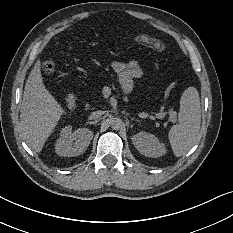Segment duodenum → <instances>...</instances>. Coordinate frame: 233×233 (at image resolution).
Wrapping results in <instances>:
<instances>
[{
  "instance_id": "1",
  "label": "duodenum",
  "mask_w": 233,
  "mask_h": 233,
  "mask_svg": "<svg viewBox=\"0 0 233 233\" xmlns=\"http://www.w3.org/2000/svg\"><path fill=\"white\" fill-rule=\"evenodd\" d=\"M66 104L69 109L73 110L76 107V96L74 93H69L66 97Z\"/></svg>"
}]
</instances>
